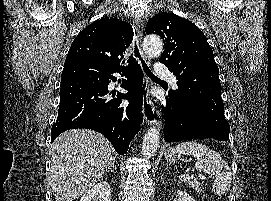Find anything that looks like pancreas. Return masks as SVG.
<instances>
[{
	"label": "pancreas",
	"instance_id": "obj_1",
	"mask_svg": "<svg viewBox=\"0 0 271 201\" xmlns=\"http://www.w3.org/2000/svg\"><path fill=\"white\" fill-rule=\"evenodd\" d=\"M194 190H196L197 192H201L202 189H201V186H200V183L199 182H194L193 184V187H192Z\"/></svg>",
	"mask_w": 271,
	"mask_h": 201
}]
</instances>
